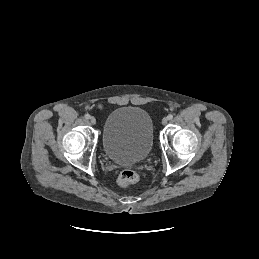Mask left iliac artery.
<instances>
[{
    "instance_id": "obj_1",
    "label": "left iliac artery",
    "mask_w": 259,
    "mask_h": 259,
    "mask_svg": "<svg viewBox=\"0 0 259 259\" xmlns=\"http://www.w3.org/2000/svg\"><path fill=\"white\" fill-rule=\"evenodd\" d=\"M167 118H168L169 120H171V119H173V115H172V114H169V115L167 116Z\"/></svg>"
}]
</instances>
